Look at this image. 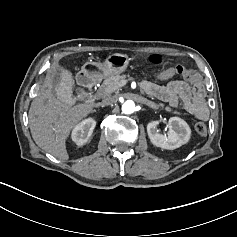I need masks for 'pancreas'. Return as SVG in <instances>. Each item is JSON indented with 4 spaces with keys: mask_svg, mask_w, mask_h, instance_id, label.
Returning a JSON list of instances; mask_svg holds the SVG:
<instances>
[{
    "mask_svg": "<svg viewBox=\"0 0 237 237\" xmlns=\"http://www.w3.org/2000/svg\"><path fill=\"white\" fill-rule=\"evenodd\" d=\"M125 79L127 82V77L122 75H111L106 80L103 81L100 90L104 92V94L108 95L114 92L116 89L120 87V82L122 79ZM159 106L163 108V110L170 112L172 114H180V112L176 109H172L170 106H164L162 103H159Z\"/></svg>",
    "mask_w": 237,
    "mask_h": 237,
    "instance_id": "cf45deb5",
    "label": "pancreas"
}]
</instances>
